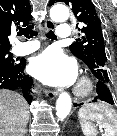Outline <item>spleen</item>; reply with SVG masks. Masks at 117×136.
<instances>
[{"instance_id": "spleen-1", "label": "spleen", "mask_w": 117, "mask_h": 136, "mask_svg": "<svg viewBox=\"0 0 117 136\" xmlns=\"http://www.w3.org/2000/svg\"><path fill=\"white\" fill-rule=\"evenodd\" d=\"M78 118L85 136H96L97 125L104 128V136H117V113L105 103H90L78 111Z\"/></svg>"}]
</instances>
